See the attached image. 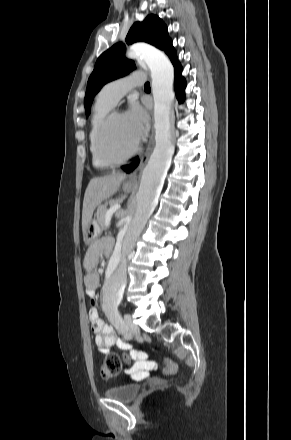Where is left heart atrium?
I'll use <instances>...</instances> for the list:
<instances>
[{
    "label": "left heart atrium",
    "mask_w": 291,
    "mask_h": 440,
    "mask_svg": "<svg viewBox=\"0 0 291 440\" xmlns=\"http://www.w3.org/2000/svg\"><path fill=\"white\" fill-rule=\"evenodd\" d=\"M135 137L141 138L148 126V116L144 109L138 105L133 104L129 110L124 114Z\"/></svg>",
    "instance_id": "39dd6f15"
}]
</instances>
